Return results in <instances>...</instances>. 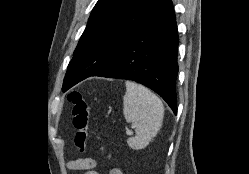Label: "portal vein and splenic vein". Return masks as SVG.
<instances>
[{
	"instance_id": "obj_1",
	"label": "portal vein and splenic vein",
	"mask_w": 249,
	"mask_h": 174,
	"mask_svg": "<svg viewBox=\"0 0 249 174\" xmlns=\"http://www.w3.org/2000/svg\"><path fill=\"white\" fill-rule=\"evenodd\" d=\"M126 134H127V135H131L132 132H131L130 130H127V131H126Z\"/></svg>"
}]
</instances>
